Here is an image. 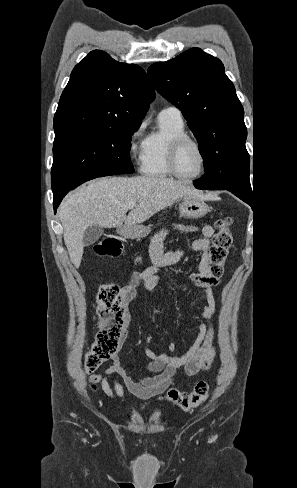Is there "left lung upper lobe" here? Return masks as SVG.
<instances>
[{"label": "left lung upper lobe", "instance_id": "obj_1", "mask_svg": "<svg viewBox=\"0 0 297 488\" xmlns=\"http://www.w3.org/2000/svg\"><path fill=\"white\" fill-rule=\"evenodd\" d=\"M155 89L182 111L204 156L199 189L252 196L244 110L222 62L199 48L148 69Z\"/></svg>", "mask_w": 297, "mask_h": 488}]
</instances>
